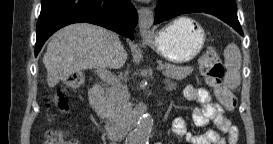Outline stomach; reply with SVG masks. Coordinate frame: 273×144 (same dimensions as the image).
Returning a JSON list of instances; mask_svg holds the SVG:
<instances>
[{
  "label": "stomach",
  "instance_id": "obj_1",
  "mask_svg": "<svg viewBox=\"0 0 273 144\" xmlns=\"http://www.w3.org/2000/svg\"><path fill=\"white\" fill-rule=\"evenodd\" d=\"M144 40L167 61L186 63L200 53L205 42V31L191 18L179 17Z\"/></svg>",
  "mask_w": 273,
  "mask_h": 144
}]
</instances>
